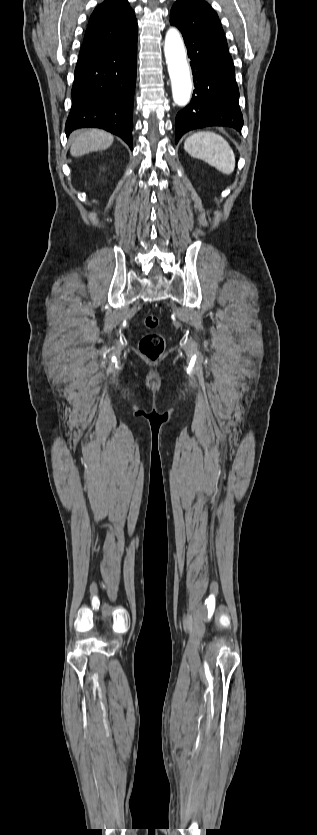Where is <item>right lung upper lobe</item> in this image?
Returning a JSON list of instances; mask_svg holds the SVG:
<instances>
[{
    "label": "right lung upper lobe",
    "mask_w": 317,
    "mask_h": 835,
    "mask_svg": "<svg viewBox=\"0 0 317 835\" xmlns=\"http://www.w3.org/2000/svg\"><path fill=\"white\" fill-rule=\"evenodd\" d=\"M137 20L127 0H105L93 11L83 43L117 45L137 34Z\"/></svg>",
    "instance_id": "right-lung-upper-lobe-1"
}]
</instances>
